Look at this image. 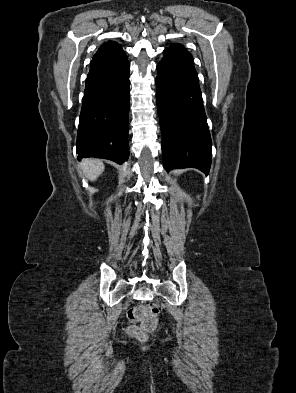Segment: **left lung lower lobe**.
Returning a JSON list of instances; mask_svg holds the SVG:
<instances>
[{"mask_svg": "<svg viewBox=\"0 0 296 393\" xmlns=\"http://www.w3.org/2000/svg\"><path fill=\"white\" fill-rule=\"evenodd\" d=\"M157 71L164 168L194 167L208 174L212 142L192 55L164 50Z\"/></svg>", "mask_w": 296, "mask_h": 393, "instance_id": "0a47b994", "label": "left lung lower lobe"}]
</instances>
